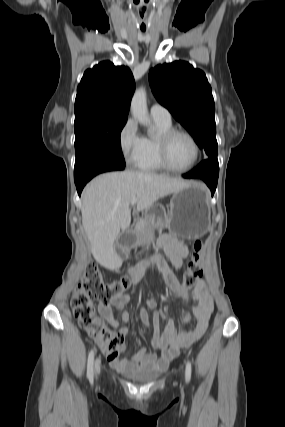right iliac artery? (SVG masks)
<instances>
[{
	"label": "right iliac artery",
	"mask_w": 285,
	"mask_h": 427,
	"mask_svg": "<svg viewBox=\"0 0 285 427\" xmlns=\"http://www.w3.org/2000/svg\"><path fill=\"white\" fill-rule=\"evenodd\" d=\"M93 362H94V351L91 350L88 356V363H87V377L90 381H93Z\"/></svg>",
	"instance_id": "1"
}]
</instances>
